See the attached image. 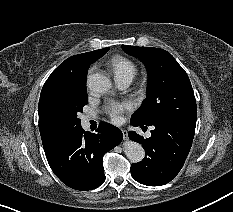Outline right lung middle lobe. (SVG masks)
Instances as JSON below:
<instances>
[{
	"instance_id": "obj_1",
	"label": "right lung middle lobe",
	"mask_w": 233,
	"mask_h": 212,
	"mask_svg": "<svg viewBox=\"0 0 233 212\" xmlns=\"http://www.w3.org/2000/svg\"><path fill=\"white\" fill-rule=\"evenodd\" d=\"M87 102L85 81L61 84L42 93L38 106L39 117L51 133L64 137L81 127L78 114Z\"/></svg>"
}]
</instances>
